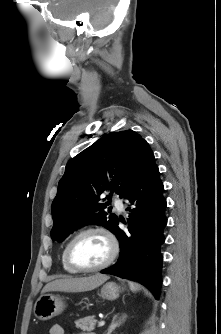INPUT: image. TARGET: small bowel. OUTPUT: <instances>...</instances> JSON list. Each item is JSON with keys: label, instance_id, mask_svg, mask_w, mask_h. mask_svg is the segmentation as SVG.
<instances>
[{"label": "small bowel", "instance_id": "small-bowel-1", "mask_svg": "<svg viewBox=\"0 0 221 334\" xmlns=\"http://www.w3.org/2000/svg\"><path fill=\"white\" fill-rule=\"evenodd\" d=\"M49 334H65V331L61 325L54 324L50 327Z\"/></svg>", "mask_w": 221, "mask_h": 334}]
</instances>
